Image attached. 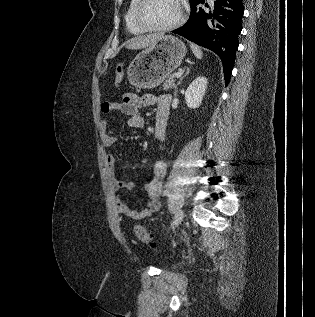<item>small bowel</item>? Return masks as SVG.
<instances>
[{"label": "small bowel", "instance_id": "1", "mask_svg": "<svg viewBox=\"0 0 315 317\" xmlns=\"http://www.w3.org/2000/svg\"><path fill=\"white\" fill-rule=\"evenodd\" d=\"M171 97L167 94L154 95L125 94L121 101H111L102 105L104 113H123L128 115L127 124L130 128L140 129L144 127V118L140 113L143 107L155 106V137L158 141L164 139L166 134L167 120L169 117V105ZM100 140L105 147L114 146L117 143L111 129H107L106 121L101 122ZM106 164L111 176V189L114 194L121 190H132L135 183L131 180H118L115 178V157L111 154L106 156ZM153 179L146 183L144 188L149 196L146 208L141 211L128 207L122 199L116 197L115 206L119 214L130 219L140 220L154 215L160 209V196L164 187V179L167 174V163L156 160L151 165Z\"/></svg>", "mask_w": 315, "mask_h": 317}]
</instances>
